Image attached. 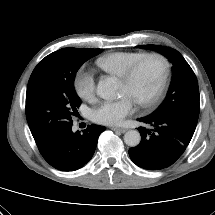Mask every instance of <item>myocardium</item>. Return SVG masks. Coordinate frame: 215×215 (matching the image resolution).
I'll return each mask as SVG.
<instances>
[{
    "instance_id": "myocardium-1",
    "label": "myocardium",
    "mask_w": 215,
    "mask_h": 215,
    "mask_svg": "<svg viewBox=\"0 0 215 215\" xmlns=\"http://www.w3.org/2000/svg\"><path fill=\"white\" fill-rule=\"evenodd\" d=\"M149 59L159 60L162 64L163 70H162V76H161L159 85L155 90V92L146 100L136 101V103L141 107H152L162 97L166 89L169 75H170V62L168 58L164 54L159 52L146 53L138 60H136L121 77L122 82H125V83L131 82L132 79L135 77L136 73L138 72V70L140 69V67L142 66V64Z\"/></svg>"
}]
</instances>
